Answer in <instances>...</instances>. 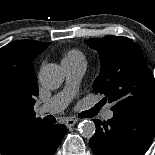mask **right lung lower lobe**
<instances>
[{
	"instance_id": "98d812e1",
	"label": "right lung lower lobe",
	"mask_w": 155,
	"mask_h": 155,
	"mask_svg": "<svg viewBox=\"0 0 155 155\" xmlns=\"http://www.w3.org/2000/svg\"><path fill=\"white\" fill-rule=\"evenodd\" d=\"M67 128L45 123L36 128L25 140V151L19 155H54Z\"/></svg>"
}]
</instances>
